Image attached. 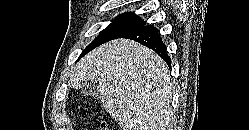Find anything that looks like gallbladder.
<instances>
[{
	"instance_id": "1",
	"label": "gallbladder",
	"mask_w": 249,
	"mask_h": 130,
	"mask_svg": "<svg viewBox=\"0 0 249 130\" xmlns=\"http://www.w3.org/2000/svg\"><path fill=\"white\" fill-rule=\"evenodd\" d=\"M82 94L88 98H96L99 96L98 84L94 81L86 82L82 89Z\"/></svg>"
}]
</instances>
